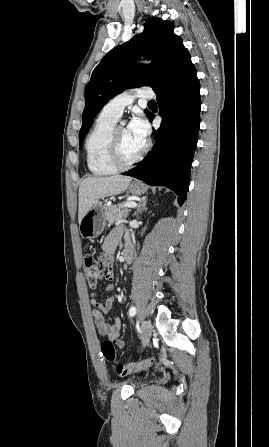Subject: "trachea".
<instances>
[{
    "label": "trachea",
    "mask_w": 269,
    "mask_h": 447,
    "mask_svg": "<svg viewBox=\"0 0 269 447\" xmlns=\"http://www.w3.org/2000/svg\"><path fill=\"white\" fill-rule=\"evenodd\" d=\"M148 105H156V102L154 100H150Z\"/></svg>",
    "instance_id": "1"
}]
</instances>
